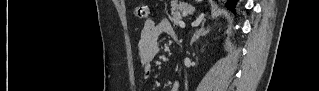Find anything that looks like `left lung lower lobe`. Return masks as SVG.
<instances>
[{
  "label": "left lung lower lobe",
  "mask_w": 319,
  "mask_h": 91,
  "mask_svg": "<svg viewBox=\"0 0 319 91\" xmlns=\"http://www.w3.org/2000/svg\"><path fill=\"white\" fill-rule=\"evenodd\" d=\"M237 0H228L226 6L229 8V9H232L234 11V6L236 4Z\"/></svg>",
  "instance_id": "1"
}]
</instances>
